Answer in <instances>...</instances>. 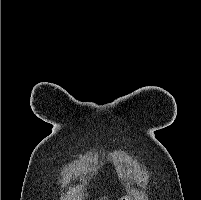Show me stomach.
Returning <instances> with one entry per match:
<instances>
[{"label":"stomach","instance_id":"1","mask_svg":"<svg viewBox=\"0 0 201 200\" xmlns=\"http://www.w3.org/2000/svg\"><path fill=\"white\" fill-rule=\"evenodd\" d=\"M122 200H132V199L129 197H125V198H122Z\"/></svg>","mask_w":201,"mask_h":200}]
</instances>
